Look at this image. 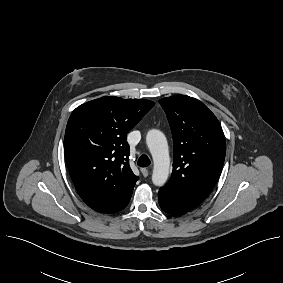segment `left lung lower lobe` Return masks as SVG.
<instances>
[{"mask_svg":"<svg viewBox=\"0 0 283 283\" xmlns=\"http://www.w3.org/2000/svg\"><path fill=\"white\" fill-rule=\"evenodd\" d=\"M158 201L161 209L168 214L183 215L188 212V210L180 207L173 196L164 188H161L158 192Z\"/></svg>","mask_w":283,"mask_h":283,"instance_id":"left-lung-lower-lobe-1","label":"left lung lower lobe"}]
</instances>
